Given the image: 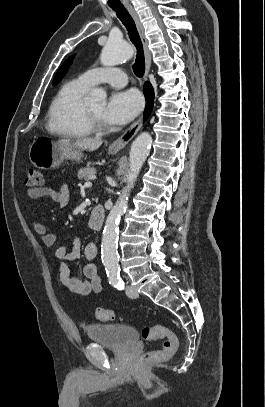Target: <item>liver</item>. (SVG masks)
<instances>
[{"instance_id": "obj_1", "label": "liver", "mask_w": 265, "mask_h": 407, "mask_svg": "<svg viewBox=\"0 0 265 407\" xmlns=\"http://www.w3.org/2000/svg\"><path fill=\"white\" fill-rule=\"evenodd\" d=\"M58 143L64 146H72L83 150L95 151L102 145L103 142L99 139L84 138L77 139L74 142L67 139H61L58 141Z\"/></svg>"}]
</instances>
